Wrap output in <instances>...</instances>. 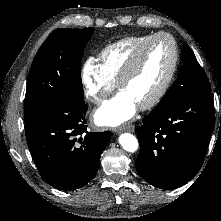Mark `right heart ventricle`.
<instances>
[{
    "label": "right heart ventricle",
    "instance_id": "right-heart-ventricle-1",
    "mask_svg": "<svg viewBox=\"0 0 221 221\" xmlns=\"http://www.w3.org/2000/svg\"><path fill=\"white\" fill-rule=\"evenodd\" d=\"M150 36L152 34L126 37L104 47L99 54L100 66L112 82H117L133 53Z\"/></svg>",
    "mask_w": 221,
    "mask_h": 221
}]
</instances>
